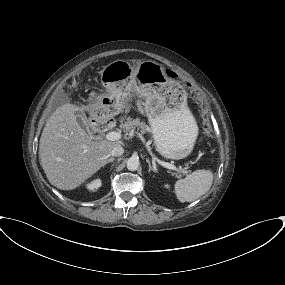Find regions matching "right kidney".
Instances as JSON below:
<instances>
[{
    "label": "right kidney",
    "mask_w": 285,
    "mask_h": 285,
    "mask_svg": "<svg viewBox=\"0 0 285 285\" xmlns=\"http://www.w3.org/2000/svg\"><path fill=\"white\" fill-rule=\"evenodd\" d=\"M101 180L100 179H96L94 181H92L90 184L87 185V188L90 191H95L97 190L100 186H101Z\"/></svg>",
    "instance_id": "1"
}]
</instances>
